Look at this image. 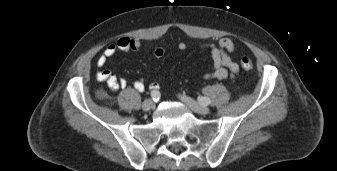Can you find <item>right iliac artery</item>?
Masks as SVG:
<instances>
[{
    "mask_svg": "<svg viewBox=\"0 0 337 171\" xmlns=\"http://www.w3.org/2000/svg\"><path fill=\"white\" fill-rule=\"evenodd\" d=\"M151 97L155 102H157L160 99L161 94H160L159 91L154 90V91L151 92Z\"/></svg>",
    "mask_w": 337,
    "mask_h": 171,
    "instance_id": "1",
    "label": "right iliac artery"
}]
</instances>
